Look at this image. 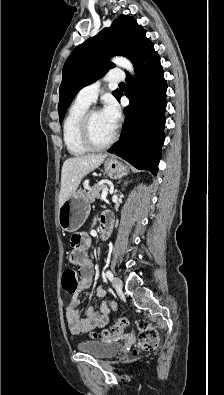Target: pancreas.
Wrapping results in <instances>:
<instances>
[{
  "label": "pancreas",
  "instance_id": "cf45deb5",
  "mask_svg": "<svg viewBox=\"0 0 224 395\" xmlns=\"http://www.w3.org/2000/svg\"><path fill=\"white\" fill-rule=\"evenodd\" d=\"M106 188L105 185H95L92 189L88 191V200L89 202H94L96 198L100 197V192Z\"/></svg>",
  "mask_w": 224,
  "mask_h": 395
}]
</instances>
